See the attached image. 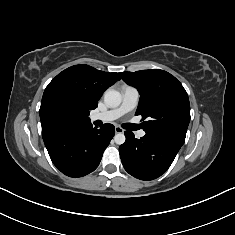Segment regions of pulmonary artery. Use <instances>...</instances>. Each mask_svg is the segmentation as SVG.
<instances>
[{"label": "pulmonary artery", "mask_w": 235, "mask_h": 235, "mask_svg": "<svg viewBox=\"0 0 235 235\" xmlns=\"http://www.w3.org/2000/svg\"><path fill=\"white\" fill-rule=\"evenodd\" d=\"M138 99H139V93L137 89L131 86H125L122 91V102L117 108L101 113H96L91 116V119L93 121L101 120L104 122H110L116 120L125 113H128L131 110H133L137 105ZM137 136L139 138L144 137L145 131L144 130L138 131Z\"/></svg>", "instance_id": "pulmonary-artery-1"}]
</instances>
